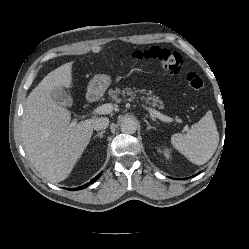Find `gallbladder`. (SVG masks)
Listing matches in <instances>:
<instances>
[{"instance_id":"gallbladder-1","label":"gallbladder","mask_w":249,"mask_h":249,"mask_svg":"<svg viewBox=\"0 0 249 249\" xmlns=\"http://www.w3.org/2000/svg\"><path fill=\"white\" fill-rule=\"evenodd\" d=\"M51 96L56 103L64 107L70 106L72 104L70 96L67 94V92L64 89L61 88L54 89L52 91Z\"/></svg>"}]
</instances>
